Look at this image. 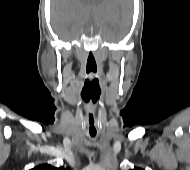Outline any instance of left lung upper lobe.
<instances>
[{
	"mask_svg": "<svg viewBox=\"0 0 190 170\" xmlns=\"http://www.w3.org/2000/svg\"><path fill=\"white\" fill-rule=\"evenodd\" d=\"M133 170H143V169H141V168H134Z\"/></svg>",
	"mask_w": 190,
	"mask_h": 170,
	"instance_id": "5c2ea615",
	"label": "left lung upper lobe"
}]
</instances>
